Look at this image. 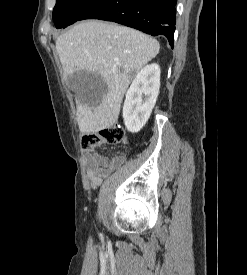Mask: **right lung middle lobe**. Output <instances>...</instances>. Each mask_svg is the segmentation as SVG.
<instances>
[{
	"label": "right lung middle lobe",
	"mask_w": 247,
	"mask_h": 275,
	"mask_svg": "<svg viewBox=\"0 0 247 275\" xmlns=\"http://www.w3.org/2000/svg\"><path fill=\"white\" fill-rule=\"evenodd\" d=\"M98 0H56L53 20L56 28H65L76 21L82 13Z\"/></svg>",
	"instance_id": "obj_1"
}]
</instances>
